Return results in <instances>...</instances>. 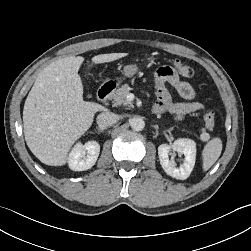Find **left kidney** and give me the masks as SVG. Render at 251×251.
<instances>
[{
	"instance_id": "obj_1",
	"label": "left kidney",
	"mask_w": 251,
	"mask_h": 251,
	"mask_svg": "<svg viewBox=\"0 0 251 251\" xmlns=\"http://www.w3.org/2000/svg\"><path fill=\"white\" fill-rule=\"evenodd\" d=\"M175 152L185 156L184 162L176 167L174 159H169L170 155ZM158 155L162 168L167 175L184 180L189 177L196 159V143L189 138H180L173 142V144H161L158 147Z\"/></svg>"
}]
</instances>
